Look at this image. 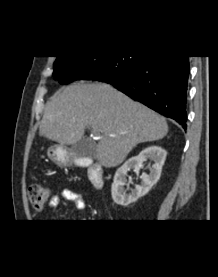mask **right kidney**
<instances>
[{
  "instance_id": "ca27d5eb",
  "label": "right kidney",
  "mask_w": 218,
  "mask_h": 277,
  "mask_svg": "<svg viewBox=\"0 0 218 277\" xmlns=\"http://www.w3.org/2000/svg\"><path fill=\"white\" fill-rule=\"evenodd\" d=\"M167 152L159 146H150L140 152L138 156L129 158L120 168L117 169L111 186L113 201L121 206H128L136 202L140 197L146 195L160 178L162 167L166 159ZM150 159L154 162L150 169V174L143 173L140 176L141 185H136L134 190L126 194L124 185L127 182V172L133 169L136 173L143 166V162Z\"/></svg>"
}]
</instances>
